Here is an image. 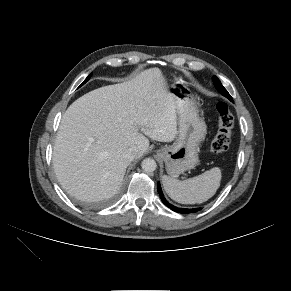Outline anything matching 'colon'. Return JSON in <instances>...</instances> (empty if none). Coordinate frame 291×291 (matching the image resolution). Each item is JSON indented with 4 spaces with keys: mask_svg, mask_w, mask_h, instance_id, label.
I'll return each mask as SVG.
<instances>
[{
    "mask_svg": "<svg viewBox=\"0 0 291 291\" xmlns=\"http://www.w3.org/2000/svg\"><path fill=\"white\" fill-rule=\"evenodd\" d=\"M216 109L218 113V129L211 142V151L219 154L225 152L229 148L234 118L226 103L219 102Z\"/></svg>",
    "mask_w": 291,
    "mask_h": 291,
    "instance_id": "obj_1",
    "label": "colon"
}]
</instances>
